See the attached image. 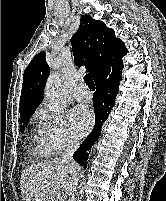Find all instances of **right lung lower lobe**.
<instances>
[{
    "instance_id": "98d812e1",
    "label": "right lung lower lobe",
    "mask_w": 166,
    "mask_h": 201,
    "mask_svg": "<svg viewBox=\"0 0 166 201\" xmlns=\"http://www.w3.org/2000/svg\"><path fill=\"white\" fill-rule=\"evenodd\" d=\"M122 69L123 64L111 66L102 72L95 80L96 92L94 93L93 98L95 127L73 155V159L84 166V168L87 167L85 161L87 160L90 149L100 136L102 125L106 121L110 110L114 105L115 97L118 93V85L122 79L120 74Z\"/></svg>"
}]
</instances>
